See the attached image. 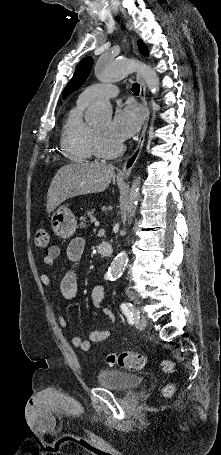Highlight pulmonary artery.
I'll list each match as a JSON object with an SVG mask.
<instances>
[{
  "mask_svg": "<svg viewBox=\"0 0 221 455\" xmlns=\"http://www.w3.org/2000/svg\"><path fill=\"white\" fill-rule=\"evenodd\" d=\"M119 89L111 83H99L88 86L80 94V98L90 103L98 98H113L118 95Z\"/></svg>",
  "mask_w": 221,
  "mask_h": 455,
  "instance_id": "1",
  "label": "pulmonary artery"
}]
</instances>
